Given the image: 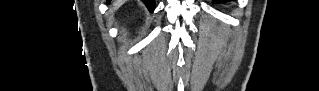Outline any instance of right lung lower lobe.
<instances>
[{
	"instance_id": "98d812e1",
	"label": "right lung lower lobe",
	"mask_w": 319,
	"mask_h": 91,
	"mask_svg": "<svg viewBox=\"0 0 319 91\" xmlns=\"http://www.w3.org/2000/svg\"><path fill=\"white\" fill-rule=\"evenodd\" d=\"M110 2V0L108 1ZM142 2L147 6L148 10L154 11L155 9V0H142Z\"/></svg>"
}]
</instances>
